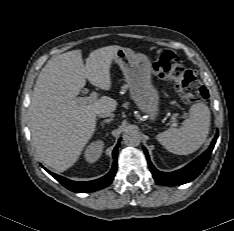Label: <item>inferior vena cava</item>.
I'll use <instances>...</instances> for the list:
<instances>
[{"label":"inferior vena cava","instance_id":"602c4592","mask_svg":"<svg viewBox=\"0 0 234 231\" xmlns=\"http://www.w3.org/2000/svg\"><path fill=\"white\" fill-rule=\"evenodd\" d=\"M98 116H99L100 118H104V117H114V114H113L112 112H110V111H105V110H103V111H101V112L98 113Z\"/></svg>","mask_w":234,"mask_h":231}]
</instances>
